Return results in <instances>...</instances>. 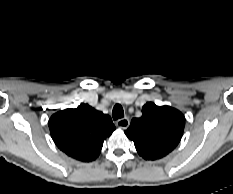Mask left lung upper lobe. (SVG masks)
<instances>
[{"mask_svg":"<svg viewBox=\"0 0 233 194\" xmlns=\"http://www.w3.org/2000/svg\"><path fill=\"white\" fill-rule=\"evenodd\" d=\"M142 116L133 118L126 136L133 140L140 156L156 160L170 153L180 142L184 130V116L169 106L152 102L142 108Z\"/></svg>","mask_w":233,"mask_h":194,"instance_id":"1","label":"left lung upper lobe"}]
</instances>
